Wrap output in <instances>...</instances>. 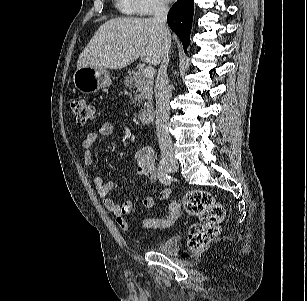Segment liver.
Listing matches in <instances>:
<instances>
[{"label": "liver", "instance_id": "liver-1", "mask_svg": "<svg viewBox=\"0 0 307 301\" xmlns=\"http://www.w3.org/2000/svg\"><path fill=\"white\" fill-rule=\"evenodd\" d=\"M163 55L161 28L155 18H114L96 31L80 54L77 68L121 69L139 57L158 65Z\"/></svg>", "mask_w": 307, "mask_h": 301}]
</instances>
